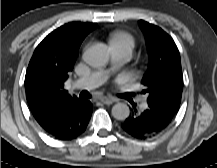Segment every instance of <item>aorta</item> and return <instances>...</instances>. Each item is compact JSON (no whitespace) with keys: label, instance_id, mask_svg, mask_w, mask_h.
I'll use <instances>...</instances> for the list:
<instances>
[{"label":"aorta","instance_id":"1","mask_svg":"<svg viewBox=\"0 0 217 168\" xmlns=\"http://www.w3.org/2000/svg\"><path fill=\"white\" fill-rule=\"evenodd\" d=\"M83 59L92 67H102L108 61V53L104 45L93 44L84 51ZM129 114V107L124 103H117L112 107V116L117 120H125Z\"/></svg>","mask_w":217,"mask_h":168}]
</instances>
